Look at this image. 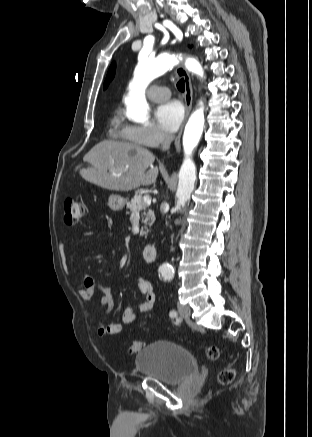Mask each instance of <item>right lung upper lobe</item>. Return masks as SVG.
<instances>
[{
	"label": "right lung upper lobe",
	"mask_w": 312,
	"mask_h": 437,
	"mask_svg": "<svg viewBox=\"0 0 312 437\" xmlns=\"http://www.w3.org/2000/svg\"><path fill=\"white\" fill-rule=\"evenodd\" d=\"M114 74H115V63H113L108 70L106 81L104 83V88H106L108 86L109 82L114 77Z\"/></svg>",
	"instance_id": "cb5924a9"
}]
</instances>
